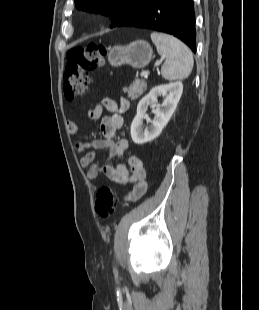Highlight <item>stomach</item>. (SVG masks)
<instances>
[{
    "instance_id": "obj_1",
    "label": "stomach",
    "mask_w": 259,
    "mask_h": 310,
    "mask_svg": "<svg viewBox=\"0 0 259 310\" xmlns=\"http://www.w3.org/2000/svg\"><path fill=\"white\" fill-rule=\"evenodd\" d=\"M152 57V48L144 40L134 41L127 46H115L108 52V61L114 67L127 64L141 69L149 64Z\"/></svg>"
}]
</instances>
